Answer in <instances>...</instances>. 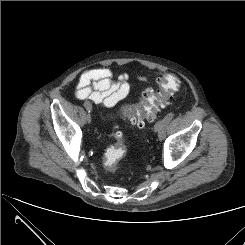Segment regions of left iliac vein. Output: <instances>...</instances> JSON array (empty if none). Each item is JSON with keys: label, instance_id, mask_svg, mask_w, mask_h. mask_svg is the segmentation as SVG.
I'll use <instances>...</instances> for the list:
<instances>
[{"label": "left iliac vein", "instance_id": "left-iliac-vein-1", "mask_svg": "<svg viewBox=\"0 0 245 245\" xmlns=\"http://www.w3.org/2000/svg\"><path fill=\"white\" fill-rule=\"evenodd\" d=\"M162 125H163V119L159 120L154 126V131L158 133L159 139H163L164 138L163 134L161 133Z\"/></svg>", "mask_w": 245, "mask_h": 245}]
</instances>
